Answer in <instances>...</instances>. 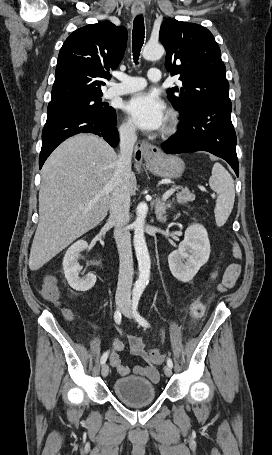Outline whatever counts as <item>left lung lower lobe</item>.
Masks as SVG:
<instances>
[{
  "mask_svg": "<svg viewBox=\"0 0 272 455\" xmlns=\"http://www.w3.org/2000/svg\"><path fill=\"white\" fill-rule=\"evenodd\" d=\"M231 102H205L181 116L176 135L161 147L167 154L208 151L226 160L239 174L236 133L231 122Z\"/></svg>",
  "mask_w": 272,
  "mask_h": 455,
  "instance_id": "1",
  "label": "left lung lower lobe"
}]
</instances>
